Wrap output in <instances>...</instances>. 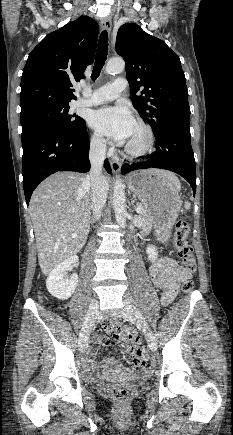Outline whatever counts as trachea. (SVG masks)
Here are the masks:
<instances>
[{"instance_id":"1","label":"trachea","mask_w":233,"mask_h":435,"mask_svg":"<svg viewBox=\"0 0 233 435\" xmlns=\"http://www.w3.org/2000/svg\"><path fill=\"white\" fill-rule=\"evenodd\" d=\"M108 54V33L104 30L99 38L95 63L91 75V79L94 81L99 77V73L103 68Z\"/></svg>"}]
</instances>
